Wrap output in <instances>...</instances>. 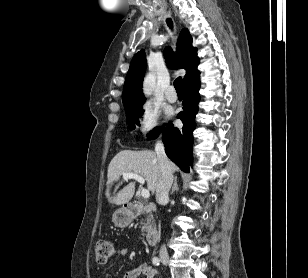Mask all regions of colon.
Returning a JSON list of instances; mask_svg holds the SVG:
<instances>
[{
  "label": "colon",
  "mask_w": 308,
  "mask_h": 278,
  "mask_svg": "<svg viewBox=\"0 0 308 278\" xmlns=\"http://www.w3.org/2000/svg\"><path fill=\"white\" fill-rule=\"evenodd\" d=\"M94 251L97 262L104 264L113 255L114 246L109 240H100L96 243Z\"/></svg>",
  "instance_id": "obj_1"
}]
</instances>
